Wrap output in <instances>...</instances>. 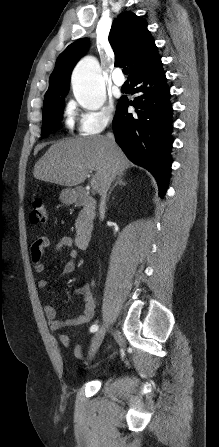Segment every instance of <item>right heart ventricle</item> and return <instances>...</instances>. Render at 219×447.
Here are the masks:
<instances>
[{
	"label": "right heart ventricle",
	"mask_w": 219,
	"mask_h": 447,
	"mask_svg": "<svg viewBox=\"0 0 219 447\" xmlns=\"http://www.w3.org/2000/svg\"><path fill=\"white\" fill-rule=\"evenodd\" d=\"M72 115H73V112H72V111H69V112L67 113L66 124H67V126H69V127H71L72 124H73V117H72Z\"/></svg>",
	"instance_id": "1"
}]
</instances>
